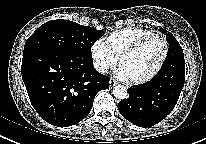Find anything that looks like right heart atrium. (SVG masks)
<instances>
[{"label":"right heart atrium","instance_id":"1","mask_svg":"<svg viewBox=\"0 0 206 144\" xmlns=\"http://www.w3.org/2000/svg\"><path fill=\"white\" fill-rule=\"evenodd\" d=\"M94 67L105 73L114 67L118 61V56L111 50L105 39H98L90 48Z\"/></svg>","mask_w":206,"mask_h":144}]
</instances>
